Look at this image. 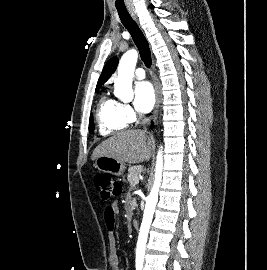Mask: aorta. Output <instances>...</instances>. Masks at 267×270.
<instances>
[{"instance_id":"aorta-1","label":"aorta","mask_w":267,"mask_h":270,"mask_svg":"<svg viewBox=\"0 0 267 270\" xmlns=\"http://www.w3.org/2000/svg\"><path fill=\"white\" fill-rule=\"evenodd\" d=\"M138 59V53L132 49L124 53L119 65L118 76L114 83V95L122 101H130L133 99L132 81L134 70ZM163 170V151L159 148L155 166V180L149 196L146 199L143 220L140 227L137 248L136 262L142 263L145 255L146 242L149 228L152 222L156 204L158 202V193L162 181Z\"/></svg>"}]
</instances>
